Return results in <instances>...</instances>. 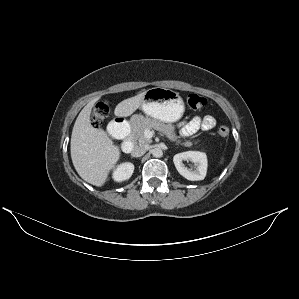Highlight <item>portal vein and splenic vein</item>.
<instances>
[{"instance_id": "1", "label": "portal vein and splenic vein", "mask_w": 299, "mask_h": 299, "mask_svg": "<svg viewBox=\"0 0 299 299\" xmlns=\"http://www.w3.org/2000/svg\"><path fill=\"white\" fill-rule=\"evenodd\" d=\"M154 135V131L153 130H145L144 132V136L146 139H151Z\"/></svg>"}]
</instances>
